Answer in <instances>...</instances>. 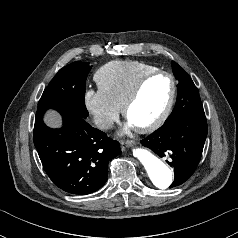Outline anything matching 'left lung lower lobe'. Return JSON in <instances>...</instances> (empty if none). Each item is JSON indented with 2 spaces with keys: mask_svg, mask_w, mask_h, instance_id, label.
<instances>
[{
  "mask_svg": "<svg viewBox=\"0 0 238 238\" xmlns=\"http://www.w3.org/2000/svg\"><path fill=\"white\" fill-rule=\"evenodd\" d=\"M207 136L205 115L181 116L165 122L159 129L141 140L143 146L174 168V181L170 188L187 181L201 159Z\"/></svg>",
  "mask_w": 238,
  "mask_h": 238,
  "instance_id": "0a47b994",
  "label": "left lung lower lobe"
}]
</instances>
